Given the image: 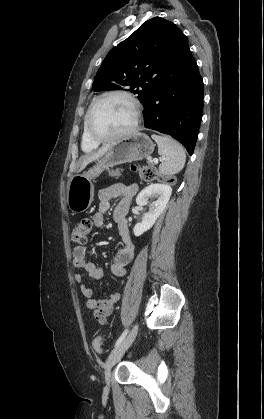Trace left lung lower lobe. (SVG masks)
Returning <instances> with one entry per match:
<instances>
[{
  "instance_id": "1",
  "label": "left lung lower lobe",
  "mask_w": 264,
  "mask_h": 419,
  "mask_svg": "<svg viewBox=\"0 0 264 419\" xmlns=\"http://www.w3.org/2000/svg\"><path fill=\"white\" fill-rule=\"evenodd\" d=\"M203 80L182 34L170 75L158 80L144 103V125L178 140L193 154L203 110Z\"/></svg>"
}]
</instances>
